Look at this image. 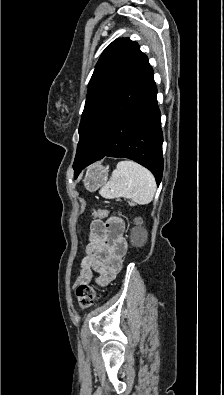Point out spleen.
<instances>
[{"instance_id":"1","label":"spleen","mask_w":224,"mask_h":395,"mask_svg":"<svg viewBox=\"0 0 224 395\" xmlns=\"http://www.w3.org/2000/svg\"><path fill=\"white\" fill-rule=\"evenodd\" d=\"M155 192L156 181L153 174L130 160L120 161L112 172L110 180L99 191L106 199L123 197L140 205L150 203Z\"/></svg>"}]
</instances>
